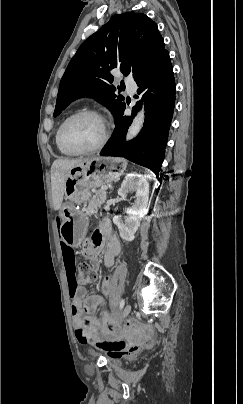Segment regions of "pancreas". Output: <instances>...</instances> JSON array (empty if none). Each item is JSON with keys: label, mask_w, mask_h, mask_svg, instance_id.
I'll use <instances>...</instances> for the list:
<instances>
[{"label": "pancreas", "mask_w": 243, "mask_h": 404, "mask_svg": "<svg viewBox=\"0 0 243 404\" xmlns=\"http://www.w3.org/2000/svg\"><path fill=\"white\" fill-rule=\"evenodd\" d=\"M100 190L98 193H93L94 196L89 200V204L87 208H85V212L87 216H96L100 206L104 204L106 200V192L105 190H101V186H99Z\"/></svg>", "instance_id": "1"}]
</instances>
